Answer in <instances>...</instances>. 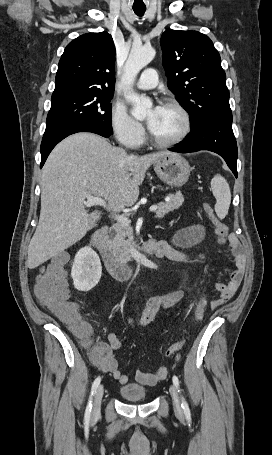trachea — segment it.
I'll list each match as a JSON object with an SVG mask.
<instances>
[{
	"label": "trachea",
	"mask_w": 272,
	"mask_h": 455,
	"mask_svg": "<svg viewBox=\"0 0 272 455\" xmlns=\"http://www.w3.org/2000/svg\"><path fill=\"white\" fill-rule=\"evenodd\" d=\"M133 10L136 15H138L139 17H142L146 11V8L145 7H141V8L134 7Z\"/></svg>",
	"instance_id": "trachea-1"
}]
</instances>
